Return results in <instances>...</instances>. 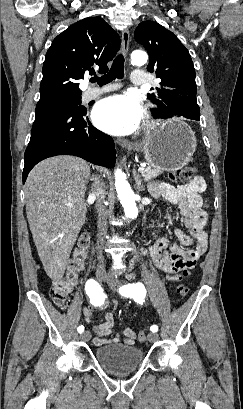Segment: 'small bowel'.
Returning <instances> with one entry per match:
<instances>
[{"instance_id":"1","label":"small bowel","mask_w":243,"mask_h":409,"mask_svg":"<svg viewBox=\"0 0 243 409\" xmlns=\"http://www.w3.org/2000/svg\"><path fill=\"white\" fill-rule=\"evenodd\" d=\"M205 189V181L200 177L180 186H172L165 182H155L151 185L154 196L164 198L179 207L184 218V225L190 233L186 234L180 228H176L174 234L178 241L184 246L194 245V248L184 250L166 238H159L153 245L143 250V253L152 259L155 267L166 274V278L170 282L183 280L184 276L181 272L184 269H192L207 250L208 216L205 210L207 202L202 197ZM83 314L86 323L92 325L95 345L135 344L137 334L132 329L125 328L122 331V336L114 329L113 308L106 312L105 319L100 324H94L93 313L90 308H85ZM107 335L112 337L106 338Z\"/></svg>"}]
</instances>
